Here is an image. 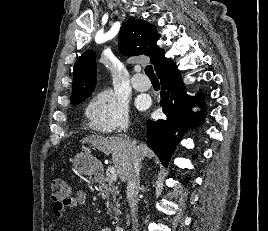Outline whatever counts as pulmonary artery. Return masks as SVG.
Returning a JSON list of instances; mask_svg holds the SVG:
<instances>
[{"instance_id": "obj_1", "label": "pulmonary artery", "mask_w": 268, "mask_h": 231, "mask_svg": "<svg viewBox=\"0 0 268 231\" xmlns=\"http://www.w3.org/2000/svg\"><path fill=\"white\" fill-rule=\"evenodd\" d=\"M132 86L139 92H146L151 87V82L142 74H136L132 79Z\"/></svg>"}]
</instances>
